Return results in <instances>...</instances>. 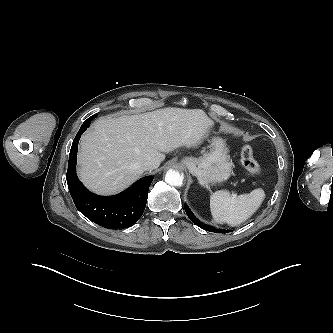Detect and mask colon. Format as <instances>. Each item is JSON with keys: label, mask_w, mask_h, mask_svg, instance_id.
<instances>
[{"label": "colon", "mask_w": 333, "mask_h": 333, "mask_svg": "<svg viewBox=\"0 0 333 333\" xmlns=\"http://www.w3.org/2000/svg\"><path fill=\"white\" fill-rule=\"evenodd\" d=\"M240 160L242 166L252 175H259L261 167L254 157L253 150L249 145H244L240 151Z\"/></svg>", "instance_id": "1"}]
</instances>
